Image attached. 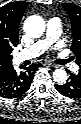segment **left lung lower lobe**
I'll return each mask as SVG.
<instances>
[{
	"label": "left lung lower lobe",
	"mask_w": 81,
	"mask_h": 124,
	"mask_svg": "<svg viewBox=\"0 0 81 124\" xmlns=\"http://www.w3.org/2000/svg\"><path fill=\"white\" fill-rule=\"evenodd\" d=\"M71 76L65 84H55L56 90L63 96L78 99L81 98V70L78 74L70 73Z\"/></svg>",
	"instance_id": "1"
}]
</instances>
